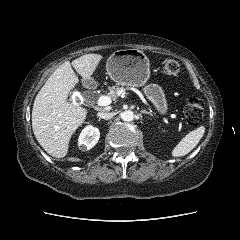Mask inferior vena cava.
<instances>
[{"label": "inferior vena cava", "instance_id": "inferior-vena-cava-1", "mask_svg": "<svg viewBox=\"0 0 240 240\" xmlns=\"http://www.w3.org/2000/svg\"><path fill=\"white\" fill-rule=\"evenodd\" d=\"M115 114L112 112H99L98 116L102 119L109 120L111 119Z\"/></svg>", "mask_w": 240, "mask_h": 240}]
</instances>
